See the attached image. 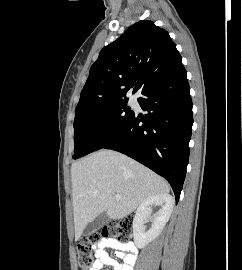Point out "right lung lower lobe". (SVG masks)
Returning a JSON list of instances; mask_svg holds the SVG:
<instances>
[{"instance_id": "obj_1", "label": "right lung lower lobe", "mask_w": 242, "mask_h": 270, "mask_svg": "<svg viewBox=\"0 0 242 270\" xmlns=\"http://www.w3.org/2000/svg\"><path fill=\"white\" fill-rule=\"evenodd\" d=\"M142 95L138 102L148 112L145 117L134 113L100 149L119 151L164 177L178 202L193 124L190 87L182 62L150 83Z\"/></svg>"}]
</instances>
